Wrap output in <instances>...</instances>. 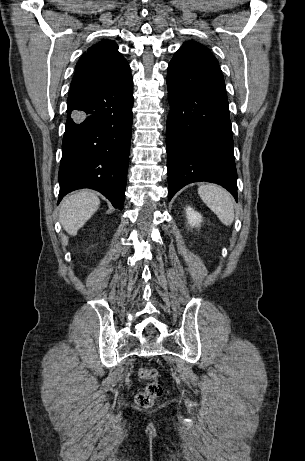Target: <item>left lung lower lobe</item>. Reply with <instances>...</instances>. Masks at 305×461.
<instances>
[{
	"instance_id": "left-lung-lower-lobe-1",
	"label": "left lung lower lobe",
	"mask_w": 305,
	"mask_h": 461,
	"mask_svg": "<svg viewBox=\"0 0 305 461\" xmlns=\"http://www.w3.org/2000/svg\"><path fill=\"white\" fill-rule=\"evenodd\" d=\"M168 199L192 182H214L237 198L224 78L214 56L175 53L168 65Z\"/></svg>"
}]
</instances>
